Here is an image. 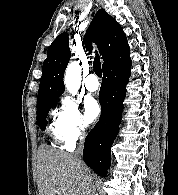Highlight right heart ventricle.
<instances>
[{
	"label": "right heart ventricle",
	"instance_id": "right-heart-ventricle-1",
	"mask_svg": "<svg viewBox=\"0 0 178 195\" xmlns=\"http://www.w3.org/2000/svg\"><path fill=\"white\" fill-rule=\"evenodd\" d=\"M50 133H51L52 137L54 138V140H55L57 143L63 142V140H62V138L60 137V134H59V128H58L57 119L54 120V121L50 124Z\"/></svg>",
	"mask_w": 178,
	"mask_h": 195
}]
</instances>
